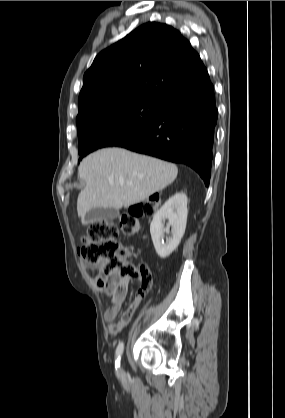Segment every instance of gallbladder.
<instances>
[{"instance_id": "obj_1", "label": "gallbladder", "mask_w": 285, "mask_h": 418, "mask_svg": "<svg viewBox=\"0 0 285 418\" xmlns=\"http://www.w3.org/2000/svg\"><path fill=\"white\" fill-rule=\"evenodd\" d=\"M118 215L119 211L115 208H92L83 216L82 223L86 225L96 221H113Z\"/></svg>"}]
</instances>
